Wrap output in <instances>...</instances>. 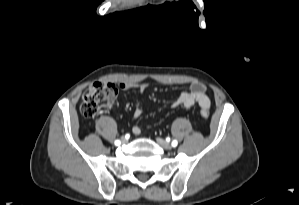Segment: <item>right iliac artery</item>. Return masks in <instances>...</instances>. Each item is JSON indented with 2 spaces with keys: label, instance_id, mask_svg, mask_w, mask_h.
Listing matches in <instances>:
<instances>
[{
  "label": "right iliac artery",
  "instance_id": "1",
  "mask_svg": "<svg viewBox=\"0 0 299 205\" xmlns=\"http://www.w3.org/2000/svg\"><path fill=\"white\" fill-rule=\"evenodd\" d=\"M115 145H117V146L120 145V141H119V140H116V141H115Z\"/></svg>",
  "mask_w": 299,
  "mask_h": 205
}]
</instances>
